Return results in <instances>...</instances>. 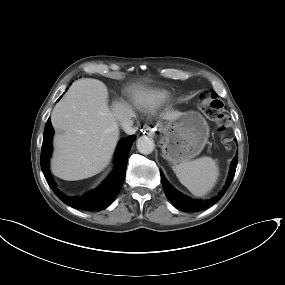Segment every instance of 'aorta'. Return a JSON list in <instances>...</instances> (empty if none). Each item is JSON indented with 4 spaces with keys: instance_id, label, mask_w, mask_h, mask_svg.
Returning <instances> with one entry per match:
<instances>
[{
    "instance_id": "762f6f07",
    "label": "aorta",
    "mask_w": 285,
    "mask_h": 285,
    "mask_svg": "<svg viewBox=\"0 0 285 285\" xmlns=\"http://www.w3.org/2000/svg\"><path fill=\"white\" fill-rule=\"evenodd\" d=\"M136 146L141 154H150L155 148L154 141L147 136H141L137 139Z\"/></svg>"
}]
</instances>
